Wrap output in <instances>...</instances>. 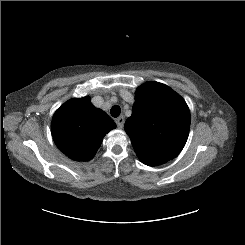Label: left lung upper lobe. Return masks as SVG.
Instances as JSON below:
<instances>
[{
	"label": "left lung upper lobe",
	"instance_id": "1",
	"mask_svg": "<svg viewBox=\"0 0 245 245\" xmlns=\"http://www.w3.org/2000/svg\"><path fill=\"white\" fill-rule=\"evenodd\" d=\"M124 129L142 163L161 165L183 149L190 129V111L170 87L147 82L136 90L132 115Z\"/></svg>",
	"mask_w": 245,
	"mask_h": 245
}]
</instances>
